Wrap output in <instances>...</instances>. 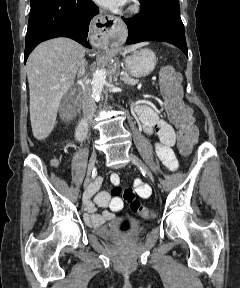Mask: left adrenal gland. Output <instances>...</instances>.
I'll use <instances>...</instances> for the list:
<instances>
[{
    "mask_svg": "<svg viewBox=\"0 0 240 288\" xmlns=\"http://www.w3.org/2000/svg\"><path fill=\"white\" fill-rule=\"evenodd\" d=\"M118 74L114 77V81L117 82Z\"/></svg>",
    "mask_w": 240,
    "mask_h": 288,
    "instance_id": "obj_1",
    "label": "left adrenal gland"
}]
</instances>
